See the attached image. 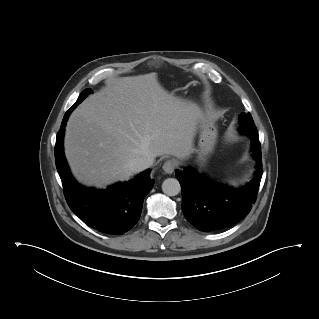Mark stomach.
<instances>
[{
	"instance_id": "obj_1",
	"label": "stomach",
	"mask_w": 319,
	"mask_h": 319,
	"mask_svg": "<svg viewBox=\"0 0 319 319\" xmlns=\"http://www.w3.org/2000/svg\"><path fill=\"white\" fill-rule=\"evenodd\" d=\"M199 133V149L196 152L198 153V161L203 164L214 150L218 137L215 120L203 112L199 119Z\"/></svg>"
}]
</instances>
